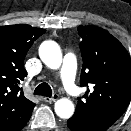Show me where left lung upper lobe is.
<instances>
[{"instance_id": "obj_1", "label": "left lung upper lobe", "mask_w": 131, "mask_h": 131, "mask_svg": "<svg viewBox=\"0 0 131 131\" xmlns=\"http://www.w3.org/2000/svg\"><path fill=\"white\" fill-rule=\"evenodd\" d=\"M83 58L81 86L93 85L78 98L74 115L105 131L131 101V59L123 45L106 30L79 26Z\"/></svg>"}]
</instances>
